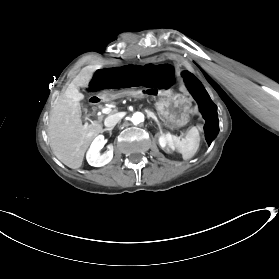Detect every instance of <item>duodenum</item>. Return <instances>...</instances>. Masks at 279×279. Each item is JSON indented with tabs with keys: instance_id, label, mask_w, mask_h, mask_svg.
<instances>
[{
	"instance_id": "obj_1",
	"label": "duodenum",
	"mask_w": 279,
	"mask_h": 279,
	"mask_svg": "<svg viewBox=\"0 0 279 279\" xmlns=\"http://www.w3.org/2000/svg\"><path fill=\"white\" fill-rule=\"evenodd\" d=\"M148 95H156V91L153 92H148L147 90H139L137 92V94L134 91H121L119 93V96L121 98H134L136 97H147ZM116 97V94L114 92H110V93H106L104 95H97V94H92L89 96L88 98V103L90 105V107L94 108V109H99L102 107L103 102L107 101V100H112Z\"/></svg>"
}]
</instances>
